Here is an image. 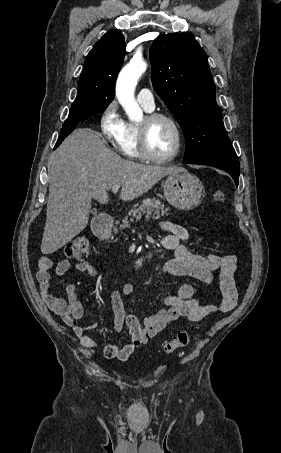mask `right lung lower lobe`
Returning a JSON list of instances; mask_svg holds the SVG:
<instances>
[{
	"instance_id": "98d812e1",
	"label": "right lung lower lobe",
	"mask_w": 281,
	"mask_h": 453,
	"mask_svg": "<svg viewBox=\"0 0 281 453\" xmlns=\"http://www.w3.org/2000/svg\"><path fill=\"white\" fill-rule=\"evenodd\" d=\"M100 111L93 110L90 106L71 107L69 118L65 121L60 136L56 142L54 150L63 142V140L76 128L77 123L85 118L98 113Z\"/></svg>"
}]
</instances>
